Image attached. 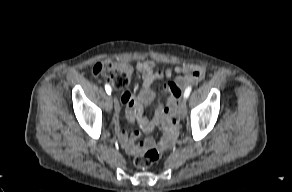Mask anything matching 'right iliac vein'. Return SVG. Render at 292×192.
Instances as JSON below:
<instances>
[{"mask_svg": "<svg viewBox=\"0 0 292 192\" xmlns=\"http://www.w3.org/2000/svg\"><path fill=\"white\" fill-rule=\"evenodd\" d=\"M112 106H113V98L112 96H107L106 100H105V108L106 110L109 112L112 110Z\"/></svg>", "mask_w": 292, "mask_h": 192, "instance_id": "63e3f726", "label": "right iliac vein"}]
</instances>
